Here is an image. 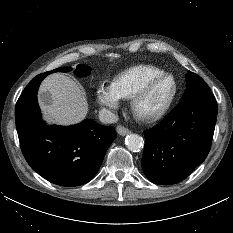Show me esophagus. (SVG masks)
I'll return each instance as SVG.
<instances>
[{
  "mask_svg": "<svg viewBox=\"0 0 233 233\" xmlns=\"http://www.w3.org/2000/svg\"><path fill=\"white\" fill-rule=\"evenodd\" d=\"M116 131L121 136H125V135H128V134L131 133V131L129 129H127L124 126H121V125L117 126Z\"/></svg>",
  "mask_w": 233,
  "mask_h": 233,
  "instance_id": "1",
  "label": "esophagus"
}]
</instances>
